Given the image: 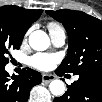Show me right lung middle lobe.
Listing matches in <instances>:
<instances>
[{
	"mask_svg": "<svg viewBox=\"0 0 102 102\" xmlns=\"http://www.w3.org/2000/svg\"><path fill=\"white\" fill-rule=\"evenodd\" d=\"M0 30V67L4 68L8 63V58L6 57L11 48L19 49L22 43V35H15L9 29V26L5 23H1Z\"/></svg>",
	"mask_w": 102,
	"mask_h": 102,
	"instance_id": "obj_1",
	"label": "right lung middle lobe"
}]
</instances>
